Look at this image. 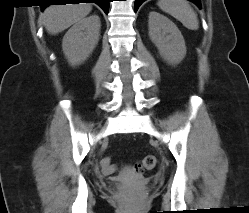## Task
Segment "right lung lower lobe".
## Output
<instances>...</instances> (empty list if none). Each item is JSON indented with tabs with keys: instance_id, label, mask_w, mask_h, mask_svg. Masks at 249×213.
Listing matches in <instances>:
<instances>
[{
	"instance_id": "right-lung-lower-lobe-1",
	"label": "right lung lower lobe",
	"mask_w": 249,
	"mask_h": 213,
	"mask_svg": "<svg viewBox=\"0 0 249 213\" xmlns=\"http://www.w3.org/2000/svg\"><path fill=\"white\" fill-rule=\"evenodd\" d=\"M87 2V3H97L106 14H108L109 10V2L110 0H48V2H52L54 4H66V3H74L79 4L80 2ZM47 5H42V8L44 9Z\"/></svg>"
}]
</instances>
